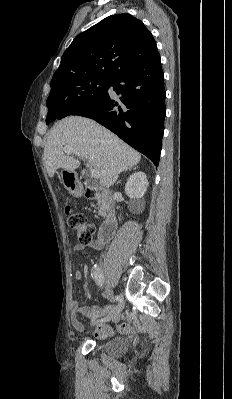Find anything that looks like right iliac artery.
I'll use <instances>...</instances> for the list:
<instances>
[{"label":"right iliac artery","mask_w":232,"mask_h":399,"mask_svg":"<svg viewBox=\"0 0 232 399\" xmlns=\"http://www.w3.org/2000/svg\"><path fill=\"white\" fill-rule=\"evenodd\" d=\"M91 275L98 286L102 287L104 285L103 272H102V268L100 265L94 264L92 266ZM115 299H116V301H119L120 296L118 294L115 295Z\"/></svg>","instance_id":"1"}]
</instances>
